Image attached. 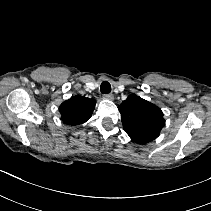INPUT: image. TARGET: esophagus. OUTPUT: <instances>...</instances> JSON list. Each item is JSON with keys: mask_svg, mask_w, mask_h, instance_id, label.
<instances>
[{"mask_svg": "<svg viewBox=\"0 0 211 211\" xmlns=\"http://www.w3.org/2000/svg\"><path fill=\"white\" fill-rule=\"evenodd\" d=\"M103 98L105 100H113L114 99V96L112 94H104L103 95Z\"/></svg>", "mask_w": 211, "mask_h": 211, "instance_id": "34e87169", "label": "esophagus"}]
</instances>
